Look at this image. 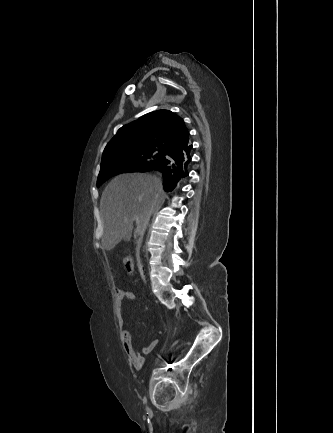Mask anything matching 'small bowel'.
Segmentation results:
<instances>
[{
	"mask_svg": "<svg viewBox=\"0 0 333 433\" xmlns=\"http://www.w3.org/2000/svg\"><path fill=\"white\" fill-rule=\"evenodd\" d=\"M116 295L120 302H123L124 300H134L136 298V294L134 292L121 289L117 290ZM118 320L121 327V342L127 357L135 368L140 369L145 361L144 356L152 352L158 345L159 341L158 339L152 340L149 345L142 349V353H138L134 348L132 335L126 329L127 321L122 311L120 312Z\"/></svg>",
	"mask_w": 333,
	"mask_h": 433,
	"instance_id": "1",
	"label": "small bowel"
}]
</instances>
